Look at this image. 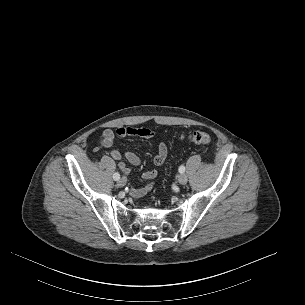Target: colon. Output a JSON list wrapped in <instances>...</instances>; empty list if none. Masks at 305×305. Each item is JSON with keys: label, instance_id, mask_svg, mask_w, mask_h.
Wrapping results in <instances>:
<instances>
[{"label": "colon", "instance_id": "5ec220e1", "mask_svg": "<svg viewBox=\"0 0 305 305\" xmlns=\"http://www.w3.org/2000/svg\"><path fill=\"white\" fill-rule=\"evenodd\" d=\"M180 139L204 145H208L211 142L210 136L207 133L201 131H195L187 135H181Z\"/></svg>", "mask_w": 305, "mask_h": 305}]
</instances>
